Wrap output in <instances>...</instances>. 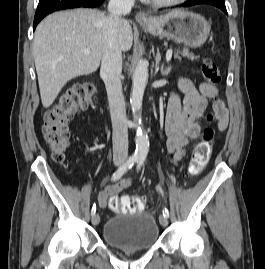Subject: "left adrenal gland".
<instances>
[{
  "mask_svg": "<svg viewBox=\"0 0 265 269\" xmlns=\"http://www.w3.org/2000/svg\"><path fill=\"white\" fill-rule=\"evenodd\" d=\"M160 60H161V55H160V52L158 51L157 52V55L155 57V66H156V69H159ZM170 70H171V67L170 66L164 68V65H162V67H161V74L163 76H167L169 74Z\"/></svg>",
  "mask_w": 265,
  "mask_h": 269,
  "instance_id": "obj_1",
  "label": "left adrenal gland"
}]
</instances>
